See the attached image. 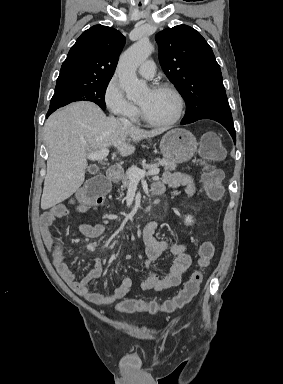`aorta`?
<instances>
[{
  "instance_id": "obj_1",
  "label": "aorta",
  "mask_w": 283,
  "mask_h": 384,
  "mask_svg": "<svg viewBox=\"0 0 283 384\" xmlns=\"http://www.w3.org/2000/svg\"><path fill=\"white\" fill-rule=\"evenodd\" d=\"M148 39H141L126 50L120 57L117 73L121 87L129 99L139 98L147 91V85L136 76L138 66L153 52Z\"/></svg>"
}]
</instances>
